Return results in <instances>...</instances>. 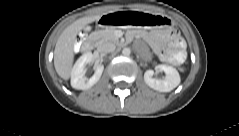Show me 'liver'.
<instances>
[{"mask_svg":"<svg viewBox=\"0 0 239 136\" xmlns=\"http://www.w3.org/2000/svg\"><path fill=\"white\" fill-rule=\"evenodd\" d=\"M100 15L82 17L69 25L59 36L54 50V66L57 74L64 80L71 75L74 61V43L77 34L84 27L100 19Z\"/></svg>","mask_w":239,"mask_h":136,"instance_id":"obj_1","label":"liver"}]
</instances>
